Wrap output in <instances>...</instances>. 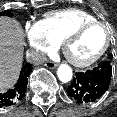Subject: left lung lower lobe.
Returning <instances> with one entry per match:
<instances>
[{"instance_id": "1", "label": "left lung lower lobe", "mask_w": 117, "mask_h": 117, "mask_svg": "<svg viewBox=\"0 0 117 117\" xmlns=\"http://www.w3.org/2000/svg\"><path fill=\"white\" fill-rule=\"evenodd\" d=\"M111 77L112 66L104 61L92 70L76 73L66 92L78 103L95 102L108 90Z\"/></svg>"}]
</instances>
